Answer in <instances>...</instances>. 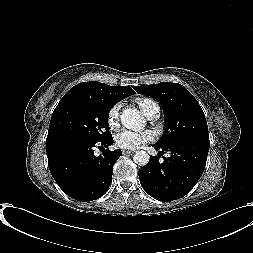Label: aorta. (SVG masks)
Segmentation results:
<instances>
[{
  "mask_svg": "<svg viewBox=\"0 0 253 253\" xmlns=\"http://www.w3.org/2000/svg\"><path fill=\"white\" fill-rule=\"evenodd\" d=\"M121 123L127 129L139 131L144 128L145 120L136 109H125L121 116ZM150 156L145 151H137L133 156V161L139 166H145L148 164Z\"/></svg>",
  "mask_w": 253,
  "mask_h": 253,
  "instance_id": "1",
  "label": "aorta"
}]
</instances>
